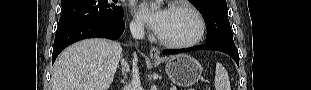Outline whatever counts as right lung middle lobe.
<instances>
[{"instance_id": "dd1d6c3e", "label": "right lung middle lobe", "mask_w": 311, "mask_h": 90, "mask_svg": "<svg viewBox=\"0 0 311 90\" xmlns=\"http://www.w3.org/2000/svg\"><path fill=\"white\" fill-rule=\"evenodd\" d=\"M117 0H62L58 30L85 21L115 22L123 19Z\"/></svg>"}]
</instances>
